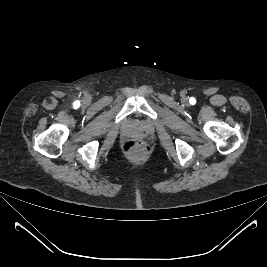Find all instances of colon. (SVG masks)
Wrapping results in <instances>:
<instances>
[{"instance_id": "colon-1", "label": "colon", "mask_w": 267, "mask_h": 267, "mask_svg": "<svg viewBox=\"0 0 267 267\" xmlns=\"http://www.w3.org/2000/svg\"><path fill=\"white\" fill-rule=\"evenodd\" d=\"M125 151L132 155H144L148 147L141 140H130L125 144Z\"/></svg>"}]
</instances>
